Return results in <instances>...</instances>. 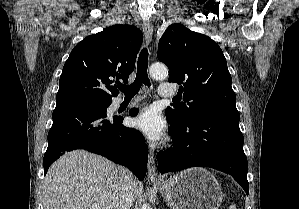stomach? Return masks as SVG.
Segmentation results:
<instances>
[{"instance_id": "obj_1", "label": "stomach", "mask_w": 299, "mask_h": 209, "mask_svg": "<svg viewBox=\"0 0 299 209\" xmlns=\"http://www.w3.org/2000/svg\"><path fill=\"white\" fill-rule=\"evenodd\" d=\"M172 209H218L223 194L215 177L204 168H190L156 184Z\"/></svg>"}]
</instances>
